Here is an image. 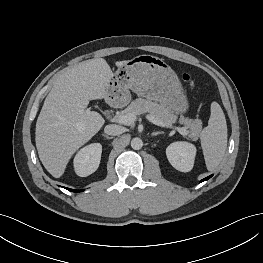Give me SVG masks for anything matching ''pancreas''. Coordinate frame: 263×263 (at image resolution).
<instances>
[{
	"mask_svg": "<svg viewBox=\"0 0 263 263\" xmlns=\"http://www.w3.org/2000/svg\"><path fill=\"white\" fill-rule=\"evenodd\" d=\"M134 114L135 116L148 113L163 123L172 124L177 120V116L162 103L152 102L143 98H138L130 103V105L121 111L118 116L126 114ZM180 123L188 129V137L194 141L198 139L202 130V121L199 119H189L182 117Z\"/></svg>",
	"mask_w": 263,
	"mask_h": 263,
	"instance_id": "pancreas-1",
	"label": "pancreas"
}]
</instances>
